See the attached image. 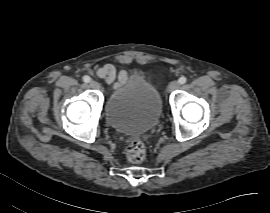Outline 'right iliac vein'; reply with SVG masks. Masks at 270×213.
<instances>
[{
  "label": "right iliac vein",
  "instance_id": "1",
  "mask_svg": "<svg viewBox=\"0 0 270 213\" xmlns=\"http://www.w3.org/2000/svg\"><path fill=\"white\" fill-rule=\"evenodd\" d=\"M90 86L94 89H98L99 88V84L96 81H91L90 82Z\"/></svg>",
  "mask_w": 270,
  "mask_h": 213
}]
</instances>
